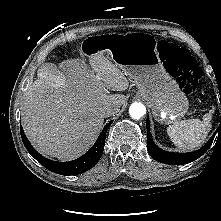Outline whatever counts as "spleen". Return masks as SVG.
Here are the masks:
<instances>
[{"label": "spleen", "mask_w": 221, "mask_h": 221, "mask_svg": "<svg viewBox=\"0 0 221 221\" xmlns=\"http://www.w3.org/2000/svg\"><path fill=\"white\" fill-rule=\"evenodd\" d=\"M210 110L203 119H189L176 122L167 127L171 141L182 150H193L205 140L212 127V113Z\"/></svg>", "instance_id": "spleen-1"}]
</instances>
